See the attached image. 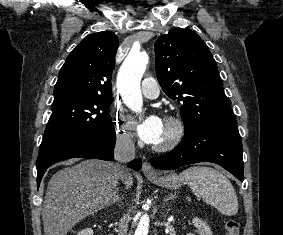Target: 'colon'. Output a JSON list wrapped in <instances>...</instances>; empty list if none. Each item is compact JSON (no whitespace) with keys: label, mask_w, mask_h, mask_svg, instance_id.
<instances>
[{"label":"colon","mask_w":283,"mask_h":235,"mask_svg":"<svg viewBox=\"0 0 283 235\" xmlns=\"http://www.w3.org/2000/svg\"><path fill=\"white\" fill-rule=\"evenodd\" d=\"M224 227L226 235H239L240 225L239 222L233 218H227L224 220Z\"/></svg>","instance_id":"5ec220e1"}]
</instances>
